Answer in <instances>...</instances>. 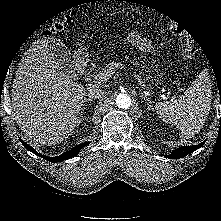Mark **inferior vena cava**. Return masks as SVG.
Here are the masks:
<instances>
[{
	"label": "inferior vena cava",
	"mask_w": 221,
	"mask_h": 221,
	"mask_svg": "<svg viewBox=\"0 0 221 221\" xmlns=\"http://www.w3.org/2000/svg\"><path fill=\"white\" fill-rule=\"evenodd\" d=\"M88 96L91 99H101L105 96V92L100 88L92 87L89 89Z\"/></svg>",
	"instance_id": "602c4592"
}]
</instances>
